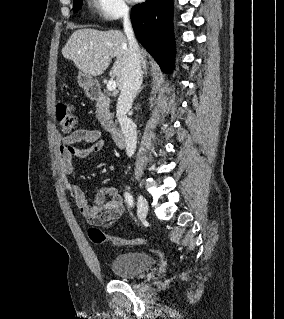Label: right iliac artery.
<instances>
[{
    "instance_id": "right-iliac-artery-1",
    "label": "right iliac artery",
    "mask_w": 284,
    "mask_h": 319,
    "mask_svg": "<svg viewBox=\"0 0 284 319\" xmlns=\"http://www.w3.org/2000/svg\"><path fill=\"white\" fill-rule=\"evenodd\" d=\"M124 196H125V201L128 204V206L133 207L134 206L133 197L128 192H126L124 194Z\"/></svg>"
}]
</instances>
